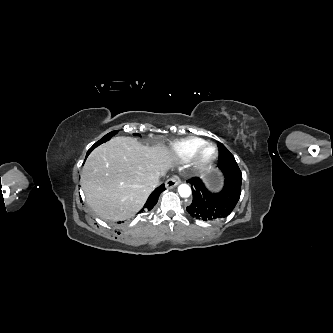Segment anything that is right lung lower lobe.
I'll use <instances>...</instances> for the list:
<instances>
[{
  "label": "right lung lower lobe",
  "mask_w": 333,
  "mask_h": 333,
  "mask_svg": "<svg viewBox=\"0 0 333 333\" xmlns=\"http://www.w3.org/2000/svg\"><path fill=\"white\" fill-rule=\"evenodd\" d=\"M96 147V144H94L87 152L86 157L90 154V152ZM165 190L164 185L159 186L158 188H156L152 194L149 196V198L147 199L144 207L142 208L140 212H147L150 211L157 203L159 195Z\"/></svg>",
  "instance_id": "1"
}]
</instances>
